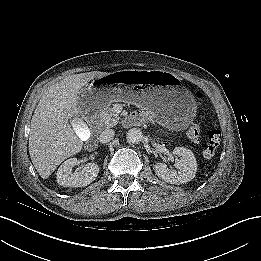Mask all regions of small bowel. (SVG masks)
<instances>
[{
  "label": "small bowel",
  "instance_id": "small-bowel-1",
  "mask_svg": "<svg viewBox=\"0 0 261 261\" xmlns=\"http://www.w3.org/2000/svg\"><path fill=\"white\" fill-rule=\"evenodd\" d=\"M141 112H135L134 114H133V116L130 118V122L131 123H137L138 121H139V119H140V116H141Z\"/></svg>",
  "mask_w": 261,
  "mask_h": 261
}]
</instances>
